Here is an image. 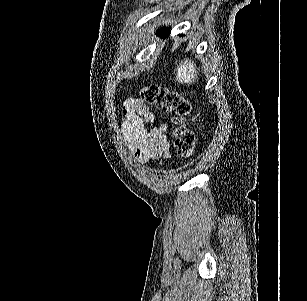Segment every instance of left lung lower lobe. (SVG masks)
<instances>
[{"instance_id":"1","label":"left lung lower lobe","mask_w":307,"mask_h":301,"mask_svg":"<svg viewBox=\"0 0 307 301\" xmlns=\"http://www.w3.org/2000/svg\"><path fill=\"white\" fill-rule=\"evenodd\" d=\"M158 33L167 35L169 33V30L165 28V29L158 31Z\"/></svg>"}]
</instances>
